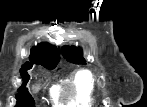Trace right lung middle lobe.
<instances>
[{"mask_svg":"<svg viewBox=\"0 0 147 107\" xmlns=\"http://www.w3.org/2000/svg\"><path fill=\"white\" fill-rule=\"evenodd\" d=\"M32 66L24 67L21 70L22 79L24 84L18 89V94L16 95L17 104L15 107H31L34 106V100L28 92V89L25 88L28 79L30 78L28 73L25 70L30 69ZM55 66L46 67L47 69H53Z\"/></svg>","mask_w":147,"mask_h":107,"instance_id":"right-lung-middle-lobe-1","label":"right lung middle lobe"}]
</instances>
